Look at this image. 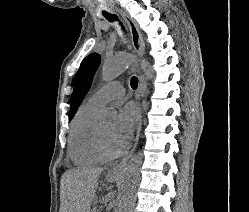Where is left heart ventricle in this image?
<instances>
[{"instance_id": "b2bd125f", "label": "left heart ventricle", "mask_w": 249, "mask_h": 212, "mask_svg": "<svg viewBox=\"0 0 249 212\" xmlns=\"http://www.w3.org/2000/svg\"><path fill=\"white\" fill-rule=\"evenodd\" d=\"M113 126H114V121L105 122L99 125L100 133H101V137L104 142V145L109 151L116 152L113 149L111 142H110V137H111Z\"/></svg>"}]
</instances>
